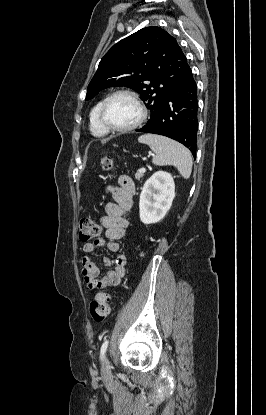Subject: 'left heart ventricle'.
<instances>
[{"label":"left heart ventricle","instance_id":"left-heart-ventricle-1","mask_svg":"<svg viewBox=\"0 0 266 415\" xmlns=\"http://www.w3.org/2000/svg\"><path fill=\"white\" fill-rule=\"evenodd\" d=\"M139 115L136 103L125 95L113 98L106 110V119L114 127H127L133 124Z\"/></svg>","mask_w":266,"mask_h":415}]
</instances>
